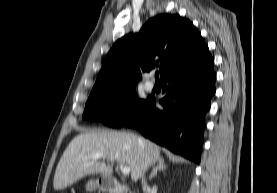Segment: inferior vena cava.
<instances>
[{"label":"inferior vena cava","instance_id":"1","mask_svg":"<svg viewBox=\"0 0 277 193\" xmlns=\"http://www.w3.org/2000/svg\"><path fill=\"white\" fill-rule=\"evenodd\" d=\"M142 189H143L144 192L149 189V187L147 185V182H146L144 177H142Z\"/></svg>","mask_w":277,"mask_h":193}]
</instances>
